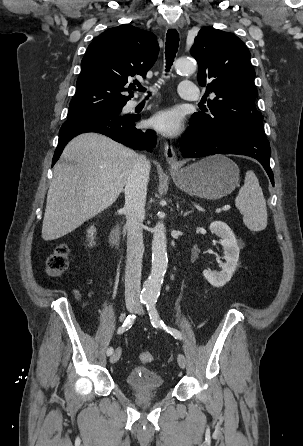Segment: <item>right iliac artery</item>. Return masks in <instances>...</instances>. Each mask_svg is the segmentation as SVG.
Returning <instances> with one entry per match:
<instances>
[{
  "instance_id": "82829eb1",
  "label": "right iliac artery",
  "mask_w": 303,
  "mask_h": 446,
  "mask_svg": "<svg viewBox=\"0 0 303 446\" xmlns=\"http://www.w3.org/2000/svg\"><path fill=\"white\" fill-rule=\"evenodd\" d=\"M146 302H147L146 300H141L142 304H146ZM135 318H136L135 314L128 315L127 318L125 319L124 323L122 324V326H120L118 328L117 333L122 334L125 331H127L132 326L133 322L135 321ZM112 353H113V348L109 347L107 349V355L110 356V355H112Z\"/></svg>"
}]
</instances>
